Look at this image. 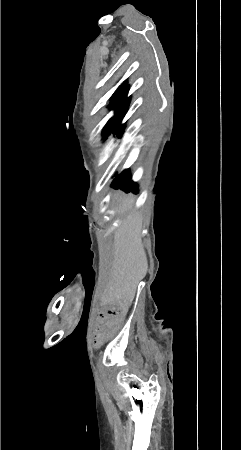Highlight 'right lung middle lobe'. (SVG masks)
I'll use <instances>...</instances> for the list:
<instances>
[{"label": "right lung middle lobe", "instance_id": "dd1d6c3e", "mask_svg": "<svg viewBox=\"0 0 241 450\" xmlns=\"http://www.w3.org/2000/svg\"><path fill=\"white\" fill-rule=\"evenodd\" d=\"M111 104L109 107L115 111V115L108 121L107 125L103 129V139H106L110 133L115 132L117 137H120L123 133V126L120 125L122 119L124 118L128 107L129 100L119 99L116 97L115 93L111 98Z\"/></svg>", "mask_w": 241, "mask_h": 450}]
</instances>
